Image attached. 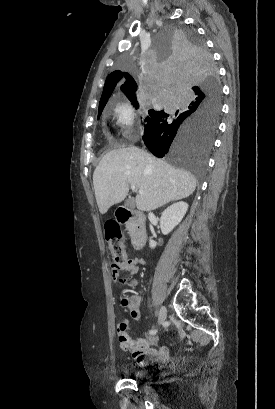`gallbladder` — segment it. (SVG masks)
I'll return each mask as SVG.
<instances>
[{"label":"gallbladder","instance_id":"bac80fb5","mask_svg":"<svg viewBox=\"0 0 275 409\" xmlns=\"http://www.w3.org/2000/svg\"><path fill=\"white\" fill-rule=\"evenodd\" d=\"M125 207H127V209H133L131 198H128V200H126Z\"/></svg>","mask_w":275,"mask_h":409}]
</instances>
